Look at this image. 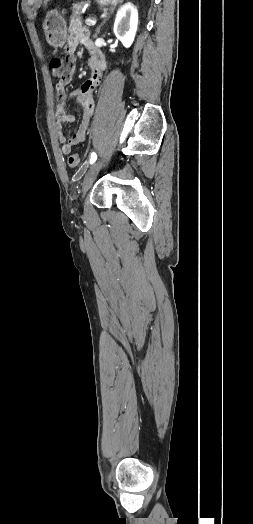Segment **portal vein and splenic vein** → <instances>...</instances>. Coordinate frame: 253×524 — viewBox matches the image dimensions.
<instances>
[{"instance_id": "1", "label": "portal vein and splenic vein", "mask_w": 253, "mask_h": 524, "mask_svg": "<svg viewBox=\"0 0 253 524\" xmlns=\"http://www.w3.org/2000/svg\"><path fill=\"white\" fill-rule=\"evenodd\" d=\"M85 23H86V25H89V26L95 25L96 24V20L88 18V19L85 20Z\"/></svg>"}]
</instances>
